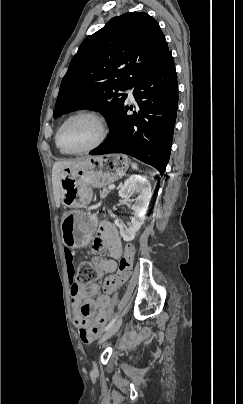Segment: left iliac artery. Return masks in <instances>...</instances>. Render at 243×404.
<instances>
[{
  "instance_id": "44dca946",
  "label": "left iliac artery",
  "mask_w": 243,
  "mask_h": 404,
  "mask_svg": "<svg viewBox=\"0 0 243 404\" xmlns=\"http://www.w3.org/2000/svg\"><path fill=\"white\" fill-rule=\"evenodd\" d=\"M117 318H118V315H115V317L112 319V321L106 326L105 331L109 330L114 325Z\"/></svg>"
}]
</instances>
